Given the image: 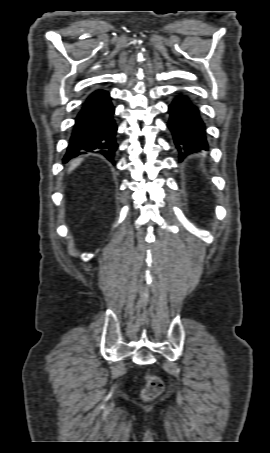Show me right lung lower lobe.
Wrapping results in <instances>:
<instances>
[{"label": "right lung lower lobe", "mask_w": 270, "mask_h": 453, "mask_svg": "<svg viewBox=\"0 0 270 453\" xmlns=\"http://www.w3.org/2000/svg\"><path fill=\"white\" fill-rule=\"evenodd\" d=\"M114 111L109 92L102 89L92 92L83 102L75 118L63 162L93 152L114 163L117 149Z\"/></svg>", "instance_id": "98d812e1"}]
</instances>
